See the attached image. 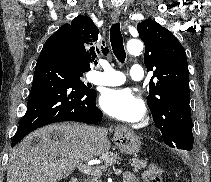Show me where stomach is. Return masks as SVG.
<instances>
[{
    "label": "stomach",
    "instance_id": "1",
    "mask_svg": "<svg viewBox=\"0 0 211 182\" xmlns=\"http://www.w3.org/2000/svg\"><path fill=\"white\" fill-rule=\"evenodd\" d=\"M115 145L126 154H136L140 150V139L130 131H117L113 137Z\"/></svg>",
    "mask_w": 211,
    "mask_h": 182
}]
</instances>
